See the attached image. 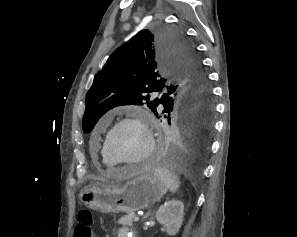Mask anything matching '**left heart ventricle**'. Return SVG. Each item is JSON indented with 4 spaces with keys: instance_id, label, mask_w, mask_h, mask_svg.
Masks as SVG:
<instances>
[{
    "instance_id": "left-heart-ventricle-1",
    "label": "left heart ventricle",
    "mask_w": 297,
    "mask_h": 237,
    "mask_svg": "<svg viewBox=\"0 0 297 237\" xmlns=\"http://www.w3.org/2000/svg\"><path fill=\"white\" fill-rule=\"evenodd\" d=\"M110 149L118 158L125 160L137 159L146 149L145 134L136 124H124L112 135Z\"/></svg>"
}]
</instances>
